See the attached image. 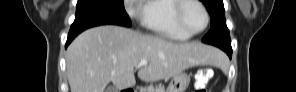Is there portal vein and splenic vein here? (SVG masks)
Masks as SVG:
<instances>
[{
	"instance_id": "obj_1",
	"label": "portal vein and splenic vein",
	"mask_w": 296,
	"mask_h": 92,
	"mask_svg": "<svg viewBox=\"0 0 296 92\" xmlns=\"http://www.w3.org/2000/svg\"><path fill=\"white\" fill-rule=\"evenodd\" d=\"M145 65H147V60L143 59L140 61L138 66H145Z\"/></svg>"
}]
</instances>
